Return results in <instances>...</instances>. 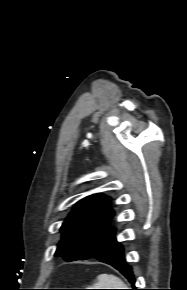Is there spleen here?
Here are the masks:
<instances>
[{
    "label": "spleen",
    "instance_id": "spleen-1",
    "mask_svg": "<svg viewBox=\"0 0 187 290\" xmlns=\"http://www.w3.org/2000/svg\"><path fill=\"white\" fill-rule=\"evenodd\" d=\"M95 289H126L125 283L112 274H100L93 284Z\"/></svg>",
    "mask_w": 187,
    "mask_h": 290
}]
</instances>
